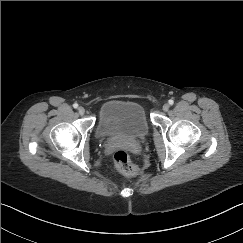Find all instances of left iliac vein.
<instances>
[{"label":"left iliac vein","mask_w":243,"mask_h":243,"mask_svg":"<svg viewBox=\"0 0 243 243\" xmlns=\"http://www.w3.org/2000/svg\"><path fill=\"white\" fill-rule=\"evenodd\" d=\"M169 107H170L169 104L166 103V104L163 105L162 109H163V111L166 112V111L169 110Z\"/></svg>","instance_id":"1"}]
</instances>
